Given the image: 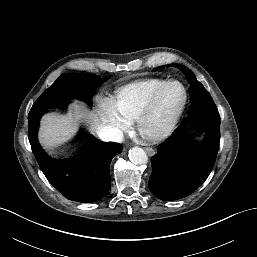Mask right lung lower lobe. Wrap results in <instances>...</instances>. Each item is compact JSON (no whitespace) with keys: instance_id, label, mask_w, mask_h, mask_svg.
<instances>
[{"instance_id":"1","label":"right lung lower lobe","mask_w":257,"mask_h":257,"mask_svg":"<svg viewBox=\"0 0 257 257\" xmlns=\"http://www.w3.org/2000/svg\"><path fill=\"white\" fill-rule=\"evenodd\" d=\"M39 120L29 124V141L36 160L48 181L67 199L96 202L110 189V163L122 151L119 144L103 143L91 136L84 148L70 159H55L37 139Z\"/></svg>"}]
</instances>
